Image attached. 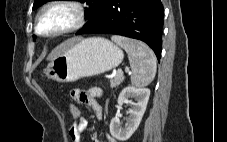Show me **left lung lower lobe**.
I'll use <instances>...</instances> for the list:
<instances>
[{
    "label": "left lung lower lobe",
    "instance_id": "left-lung-lower-lobe-1",
    "mask_svg": "<svg viewBox=\"0 0 227 142\" xmlns=\"http://www.w3.org/2000/svg\"><path fill=\"white\" fill-rule=\"evenodd\" d=\"M164 9L161 0H106L76 34H116L147 43L161 57Z\"/></svg>",
    "mask_w": 227,
    "mask_h": 142
}]
</instances>
